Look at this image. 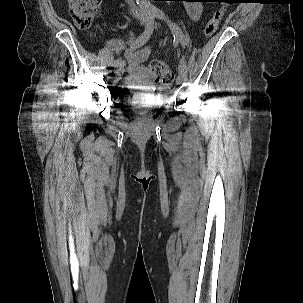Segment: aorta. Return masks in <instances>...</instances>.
I'll list each match as a JSON object with an SVG mask.
<instances>
[{"label": "aorta", "mask_w": 303, "mask_h": 303, "mask_svg": "<svg viewBox=\"0 0 303 303\" xmlns=\"http://www.w3.org/2000/svg\"><path fill=\"white\" fill-rule=\"evenodd\" d=\"M141 6L149 7L151 5L150 0H137Z\"/></svg>", "instance_id": "1"}]
</instances>
